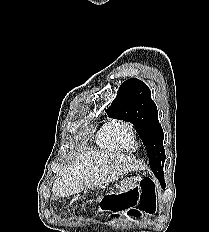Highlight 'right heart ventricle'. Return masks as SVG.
I'll list each match as a JSON object with an SVG mask.
<instances>
[{
	"label": "right heart ventricle",
	"instance_id": "right-heart-ventricle-1",
	"mask_svg": "<svg viewBox=\"0 0 209 232\" xmlns=\"http://www.w3.org/2000/svg\"><path fill=\"white\" fill-rule=\"evenodd\" d=\"M116 120H109L105 122L97 132L96 141L97 144L104 150L110 152H118L122 149L116 144L113 138L112 128L117 123Z\"/></svg>",
	"mask_w": 209,
	"mask_h": 232
}]
</instances>
